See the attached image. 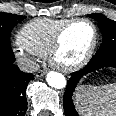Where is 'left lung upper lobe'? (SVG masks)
Here are the masks:
<instances>
[{"mask_svg":"<svg viewBox=\"0 0 116 116\" xmlns=\"http://www.w3.org/2000/svg\"><path fill=\"white\" fill-rule=\"evenodd\" d=\"M98 22L102 32L103 42L95 56H105L116 53V22L101 13L88 14Z\"/></svg>","mask_w":116,"mask_h":116,"instance_id":"5c2ea615","label":"left lung upper lobe"}]
</instances>
